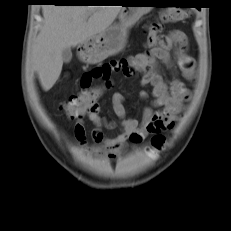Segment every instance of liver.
Here are the masks:
<instances>
[{
  "label": "liver",
  "mask_w": 231,
  "mask_h": 231,
  "mask_svg": "<svg viewBox=\"0 0 231 231\" xmlns=\"http://www.w3.org/2000/svg\"><path fill=\"white\" fill-rule=\"evenodd\" d=\"M122 8L85 5L42 8L44 25L33 48V64L45 91L53 87L61 74L63 50L105 31Z\"/></svg>",
  "instance_id": "obj_1"
}]
</instances>
